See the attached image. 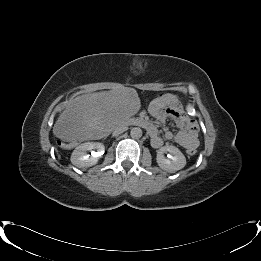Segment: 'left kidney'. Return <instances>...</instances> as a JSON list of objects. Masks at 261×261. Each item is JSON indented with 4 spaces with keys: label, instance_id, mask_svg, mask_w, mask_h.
Masks as SVG:
<instances>
[{
    "label": "left kidney",
    "instance_id": "left-kidney-1",
    "mask_svg": "<svg viewBox=\"0 0 261 261\" xmlns=\"http://www.w3.org/2000/svg\"><path fill=\"white\" fill-rule=\"evenodd\" d=\"M169 153L168 158L164 153ZM159 167L169 173H174L186 165V158L184 154L175 146H163L157 151L156 157Z\"/></svg>",
    "mask_w": 261,
    "mask_h": 261
}]
</instances>
